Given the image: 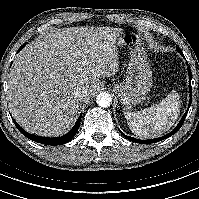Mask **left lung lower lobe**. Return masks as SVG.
<instances>
[{"label": "left lung lower lobe", "mask_w": 199, "mask_h": 199, "mask_svg": "<svg viewBox=\"0 0 199 199\" xmlns=\"http://www.w3.org/2000/svg\"><path fill=\"white\" fill-rule=\"evenodd\" d=\"M177 50H178V52L183 56V53H182L181 49L177 47ZM188 74H189V79H190V83H189L190 100H189V105H188V109H189V107H190V105H191V101H192L191 70H190L189 67H188ZM187 112H188V110H187ZM187 112L183 115L181 121H180L179 124L176 126V128H175L172 132L168 133L167 135H165V136H163V137L156 138V139H152V140H139V139H136V138H133V137H130V136H126V135H124V137H126L128 140L133 141V142H137V143H146V144H147V143H155V142L162 141V140H164L165 138H167V137H169V136L175 134V133L181 128V126L183 125L184 120H185V118H186ZM120 132H121V131H120ZM121 134H123V133L121 132Z\"/></svg>", "instance_id": "0a47b994"}]
</instances>
